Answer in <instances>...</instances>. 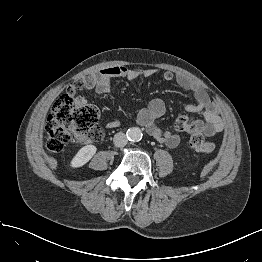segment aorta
I'll use <instances>...</instances> for the list:
<instances>
[{
	"label": "aorta",
	"instance_id": "762f6f07",
	"mask_svg": "<svg viewBox=\"0 0 262 262\" xmlns=\"http://www.w3.org/2000/svg\"><path fill=\"white\" fill-rule=\"evenodd\" d=\"M127 137L130 141L138 142L142 139V131L138 127H132L128 129Z\"/></svg>",
	"mask_w": 262,
	"mask_h": 262
}]
</instances>
